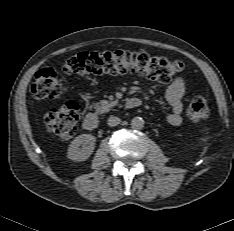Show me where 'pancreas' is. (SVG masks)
I'll return each instance as SVG.
<instances>
[{"label":"pancreas","instance_id":"cf45deb5","mask_svg":"<svg viewBox=\"0 0 234 231\" xmlns=\"http://www.w3.org/2000/svg\"><path fill=\"white\" fill-rule=\"evenodd\" d=\"M118 101H107V100H102L99 103H94V108L100 112V113H104V112H108L110 110L111 107H114L115 105H117Z\"/></svg>","mask_w":234,"mask_h":231}]
</instances>
